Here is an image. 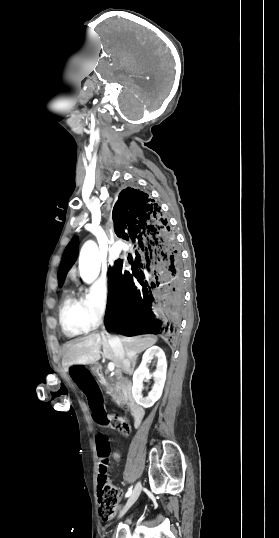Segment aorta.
<instances>
[{"label": "aorta", "instance_id": "obj_1", "mask_svg": "<svg viewBox=\"0 0 279 538\" xmlns=\"http://www.w3.org/2000/svg\"><path fill=\"white\" fill-rule=\"evenodd\" d=\"M79 271L82 280L92 283L100 272V254L98 246L93 241L86 242L79 256Z\"/></svg>", "mask_w": 279, "mask_h": 538}]
</instances>
